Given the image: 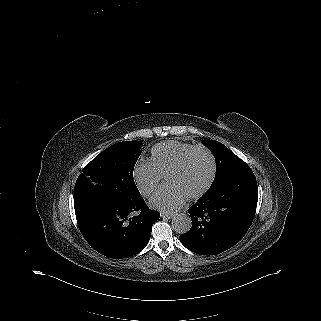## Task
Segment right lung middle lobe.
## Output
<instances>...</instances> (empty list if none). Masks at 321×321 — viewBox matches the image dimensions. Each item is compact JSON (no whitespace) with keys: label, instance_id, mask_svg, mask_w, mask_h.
<instances>
[{"label":"right lung middle lobe","instance_id":"1","mask_svg":"<svg viewBox=\"0 0 321 321\" xmlns=\"http://www.w3.org/2000/svg\"><path fill=\"white\" fill-rule=\"evenodd\" d=\"M141 147L140 141L119 142L88 163L75 184V209L106 203L128 204L141 198L133 179Z\"/></svg>","mask_w":321,"mask_h":321}]
</instances>
